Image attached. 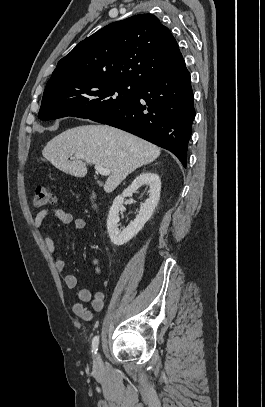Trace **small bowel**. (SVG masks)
Wrapping results in <instances>:
<instances>
[{
	"mask_svg": "<svg viewBox=\"0 0 265 407\" xmlns=\"http://www.w3.org/2000/svg\"><path fill=\"white\" fill-rule=\"evenodd\" d=\"M53 214L62 224L69 225L73 224L75 229L83 230L86 227V222L81 217H74L71 213L64 211L62 209H51L44 208L41 209L35 216L34 224L36 228H40L44 220ZM44 243L47 251L54 256L55 268L58 272H64L66 268V263L61 255L58 253L54 239L48 235H44ZM97 273H100V267L98 261L95 260ZM65 286L68 289H75L77 287V278L74 274H66L63 277ZM74 297L78 300L72 305V312L74 315L82 318L85 321H91L93 318L92 311L87 307V303H91L94 311H101L104 308V294L102 292H97L92 295L91 291L87 288H78L75 291Z\"/></svg>",
	"mask_w": 265,
	"mask_h": 407,
	"instance_id": "c3829d8e",
	"label": "small bowel"
}]
</instances>
